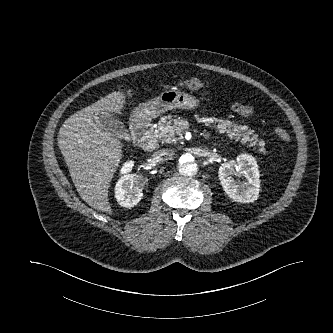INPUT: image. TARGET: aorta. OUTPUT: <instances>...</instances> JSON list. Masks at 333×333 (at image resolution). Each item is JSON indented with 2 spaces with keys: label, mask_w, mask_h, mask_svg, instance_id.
I'll return each mask as SVG.
<instances>
[{
  "label": "aorta",
  "mask_w": 333,
  "mask_h": 333,
  "mask_svg": "<svg viewBox=\"0 0 333 333\" xmlns=\"http://www.w3.org/2000/svg\"><path fill=\"white\" fill-rule=\"evenodd\" d=\"M178 170L182 175H195L198 171V165L194 156L189 153H182L179 157Z\"/></svg>",
  "instance_id": "aorta-1"
}]
</instances>
